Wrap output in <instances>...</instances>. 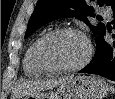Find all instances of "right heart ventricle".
I'll list each match as a JSON object with an SVG mask.
<instances>
[{"label":"right heart ventricle","instance_id":"1","mask_svg":"<svg viewBox=\"0 0 115 99\" xmlns=\"http://www.w3.org/2000/svg\"><path fill=\"white\" fill-rule=\"evenodd\" d=\"M40 37L36 38L30 44V46L27 48L25 52L24 59H23L24 73L27 77H30V78H38L47 73L38 65L35 59V47Z\"/></svg>","mask_w":115,"mask_h":99}]
</instances>
